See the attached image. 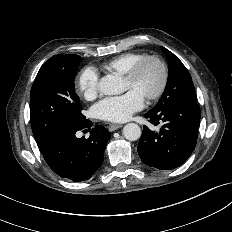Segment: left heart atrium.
Wrapping results in <instances>:
<instances>
[{
	"instance_id": "1",
	"label": "left heart atrium",
	"mask_w": 232,
	"mask_h": 232,
	"mask_svg": "<svg viewBox=\"0 0 232 232\" xmlns=\"http://www.w3.org/2000/svg\"><path fill=\"white\" fill-rule=\"evenodd\" d=\"M144 106V97L130 89L123 95L108 97L98 102L94 111L102 120L124 122Z\"/></svg>"
}]
</instances>
